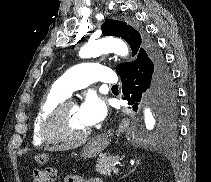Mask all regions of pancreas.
Masks as SVG:
<instances>
[{"instance_id": "pancreas-1", "label": "pancreas", "mask_w": 211, "mask_h": 182, "mask_svg": "<svg viewBox=\"0 0 211 182\" xmlns=\"http://www.w3.org/2000/svg\"><path fill=\"white\" fill-rule=\"evenodd\" d=\"M119 160L118 157L102 155L96 164V170L102 175L110 176L115 163Z\"/></svg>"}]
</instances>
